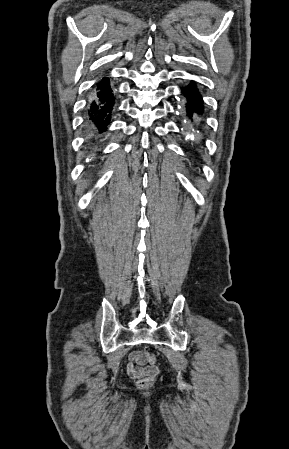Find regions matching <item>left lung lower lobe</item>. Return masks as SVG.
Returning a JSON list of instances; mask_svg holds the SVG:
<instances>
[{"mask_svg":"<svg viewBox=\"0 0 289 449\" xmlns=\"http://www.w3.org/2000/svg\"><path fill=\"white\" fill-rule=\"evenodd\" d=\"M183 93L188 99L186 105L187 116L190 120H193L194 115L203 113L202 97L194 83H191L187 88L183 89Z\"/></svg>","mask_w":289,"mask_h":449,"instance_id":"0a47b994","label":"left lung lower lobe"}]
</instances>
